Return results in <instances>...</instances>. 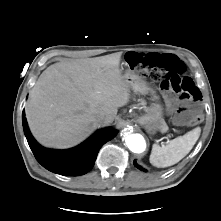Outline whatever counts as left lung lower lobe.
<instances>
[{"instance_id": "left-lung-lower-lobe-1", "label": "left lung lower lobe", "mask_w": 221, "mask_h": 221, "mask_svg": "<svg viewBox=\"0 0 221 221\" xmlns=\"http://www.w3.org/2000/svg\"><path fill=\"white\" fill-rule=\"evenodd\" d=\"M134 165H135L137 168H139L140 170L145 171L142 167H140L139 165H137L136 161L134 162Z\"/></svg>"}]
</instances>
